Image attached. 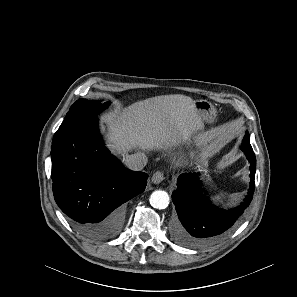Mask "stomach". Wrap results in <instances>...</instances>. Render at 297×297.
Segmentation results:
<instances>
[{
  "label": "stomach",
  "mask_w": 297,
  "mask_h": 297,
  "mask_svg": "<svg viewBox=\"0 0 297 297\" xmlns=\"http://www.w3.org/2000/svg\"><path fill=\"white\" fill-rule=\"evenodd\" d=\"M194 106L201 118L206 122H212L216 117V109L207 100H196Z\"/></svg>",
  "instance_id": "0dacf381"
}]
</instances>
